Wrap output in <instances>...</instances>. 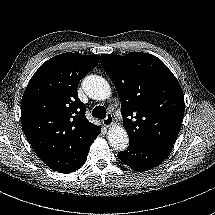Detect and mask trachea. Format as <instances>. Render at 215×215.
Wrapping results in <instances>:
<instances>
[{
    "label": "trachea",
    "instance_id": "1",
    "mask_svg": "<svg viewBox=\"0 0 215 215\" xmlns=\"http://www.w3.org/2000/svg\"><path fill=\"white\" fill-rule=\"evenodd\" d=\"M92 116L98 119H104L106 117V109L103 106H96L92 111Z\"/></svg>",
    "mask_w": 215,
    "mask_h": 215
}]
</instances>
